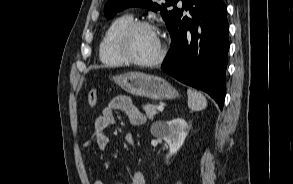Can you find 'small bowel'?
<instances>
[{
    "label": "small bowel",
    "instance_id": "1",
    "mask_svg": "<svg viewBox=\"0 0 293 184\" xmlns=\"http://www.w3.org/2000/svg\"><path fill=\"white\" fill-rule=\"evenodd\" d=\"M124 112L129 121L134 126H140L145 123L146 116L138 109L133 101L127 96L114 97L96 117L94 121V132L89 141L84 144L86 152L90 151V148L95 144L100 150H107L110 145V139L106 134V129L115 124L116 117L115 112ZM124 140L127 144L133 145L135 140L132 133H127L124 136ZM93 184H104L101 180L96 179ZM123 184V183H119ZM128 184H146L144 175L141 172H135Z\"/></svg>",
    "mask_w": 293,
    "mask_h": 184
}]
</instances>
